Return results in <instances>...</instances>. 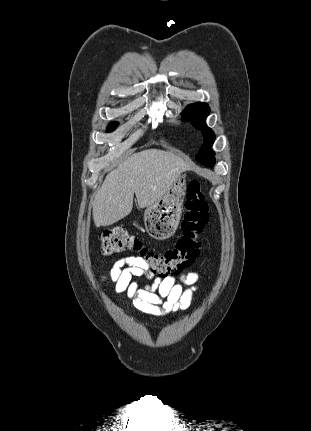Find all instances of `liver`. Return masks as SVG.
Here are the masks:
<instances>
[{
	"instance_id": "1",
	"label": "liver",
	"mask_w": 311,
	"mask_h": 431,
	"mask_svg": "<svg viewBox=\"0 0 311 431\" xmlns=\"http://www.w3.org/2000/svg\"><path fill=\"white\" fill-rule=\"evenodd\" d=\"M188 170L189 164L171 152L143 150L132 154L107 174L95 196L92 206L96 227L128 216L133 210L134 196L139 208L153 206Z\"/></svg>"
}]
</instances>
